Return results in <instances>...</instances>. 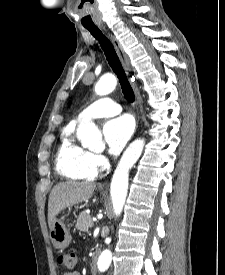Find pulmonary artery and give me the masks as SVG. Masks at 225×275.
Segmentation results:
<instances>
[{
	"label": "pulmonary artery",
	"instance_id": "obj_1",
	"mask_svg": "<svg viewBox=\"0 0 225 275\" xmlns=\"http://www.w3.org/2000/svg\"><path fill=\"white\" fill-rule=\"evenodd\" d=\"M122 111V107L109 98H100L88 107H86L79 115V121L91 120L100 117L113 116Z\"/></svg>",
	"mask_w": 225,
	"mask_h": 275
}]
</instances>
